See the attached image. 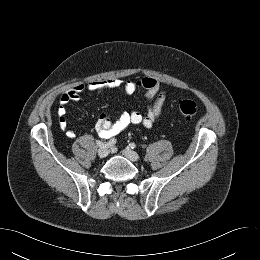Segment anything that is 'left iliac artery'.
<instances>
[{
    "mask_svg": "<svg viewBox=\"0 0 260 260\" xmlns=\"http://www.w3.org/2000/svg\"><path fill=\"white\" fill-rule=\"evenodd\" d=\"M129 146H130V148H132V149H135V148H136L135 143H130Z\"/></svg>",
    "mask_w": 260,
    "mask_h": 260,
    "instance_id": "obj_1",
    "label": "left iliac artery"
}]
</instances>
